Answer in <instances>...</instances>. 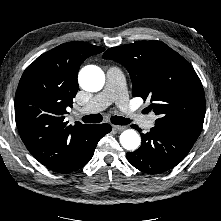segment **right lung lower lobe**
<instances>
[{"instance_id": "right-lung-lower-lobe-1", "label": "right lung lower lobe", "mask_w": 221, "mask_h": 221, "mask_svg": "<svg viewBox=\"0 0 221 221\" xmlns=\"http://www.w3.org/2000/svg\"><path fill=\"white\" fill-rule=\"evenodd\" d=\"M111 131L109 124L92 125L76 139L74 147L62 161L47 166L49 169L67 174L85 166L94 154L98 141Z\"/></svg>"}]
</instances>
